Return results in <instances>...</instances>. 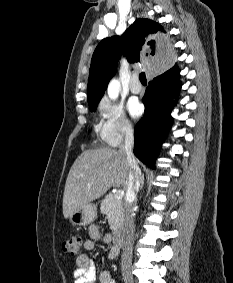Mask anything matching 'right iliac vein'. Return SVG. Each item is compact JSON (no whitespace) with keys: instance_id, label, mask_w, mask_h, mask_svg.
Segmentation results:
<instances>
[{"instance_id":"63e3f726","label":"right iliac vein","mask_w":233,"mask_h":283,"mask_svg":"<svg viewBox=\"0 0 233 283\" xmlns=\"http://www.w3.org/2000/svg\"><path fill=\"white\" fill-rule=\"evenodd\" d=\"M123 278L125 283H134L132 276L127 273L123 275Z\"/></svg>"}]
</instances>
